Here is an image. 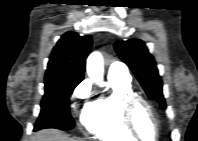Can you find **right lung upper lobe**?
<instances>
[{
    "label": "right lung upper lobe",
    "mask_w": 198,
    "mask_h": 141,
    "mask_svg": "<svg viewBox=\"0 0 198 141\" xmlns=\"http://www.w3.org/2000/svg\"><path fill=\"white\" fill-rule=\"evenodd\" d=\"M92 37L79 36L69 31L65 33L54 47L45 79H79L84 78L86 57L91 51Z\"/></svg>",
    "instance_id": "cb5924a9"
}]
</instances>
